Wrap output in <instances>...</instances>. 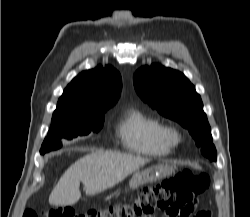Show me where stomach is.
Returning a JSON list of instances; mask_svg holds the SVG:
<instances>
[{
	"label": "stomach",
	"mask_w": 250,
	"mask_h": 217,
	"mask_svg": "<svg viewBox=\"0 0 250 217\" xmlns=\"http://www.w3.org/2000/svg\"><path fill=\"white\" fill-rule=\"evenodd\" d=\"M172 172V168L167 164L150 166L145 170H138L130 181V188L134 189L141 185L160 180Z\"/></svg>",
	"instance_id": "1"
}]
</instances>
